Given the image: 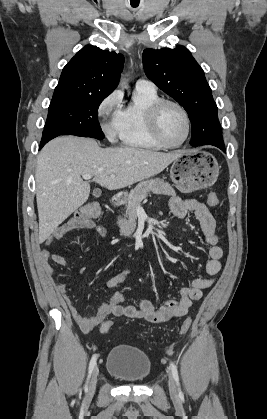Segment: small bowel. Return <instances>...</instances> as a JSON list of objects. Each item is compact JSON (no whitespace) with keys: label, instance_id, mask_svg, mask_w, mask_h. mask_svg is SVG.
<instances>
[{"label":"small bowel","instance_id":"c3829d8e","mask_svg":"<svg viewBox=\"0 0 267 419\" xmlns=\"http://www.w3.org/2000/svg\"><path fill=\"white\" fill-rule=\"evenodd\" d=\"M170 212L177 218H184L188 212H192L198 220L202 229L206 243L209 245V260L204 266V273L207 278H196L192 281L190 287L181 288L179 291V300H168L160 307L155 308L151 301L142 300L138 305H124L125 296L116 291L111 298L103 303L94 316L83 317L76 309L73 301L67 293V286L64 282L56 284L57 291L61 294L70 313L78 324L79 328L88 333L94 330L109 315L126 316L134 319H145L151 323H162L172 319L184 316L188 313L192 303L201 299L203 291L215 282L216 276L221 270V258L223 250L218 245V237L215 232L216 222L209 209L204 203L195 199L182 200L173 197L169 201ZM75 229H87L95 232L100 237L107 236V229L101 225H97L92 220L77 221L69 219L59 227H57L49 237L47 244L54 240L62 239L67 233ZM41 263L47 274L52 275L53 270L49 264L52 260L58 265L65 266L66 260L62 254L51 253L44 250L40 255ZM131 270L124 268L117 274L109 278L106 282L108 289H115L120 286L130 275Z\"/></svg>","mask_w":267,"mask_h":419}]
</instances>
